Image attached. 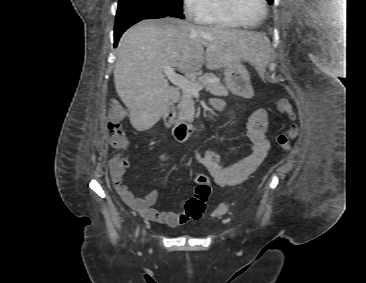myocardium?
Segmentation results:
<instances>
[{
  "label": "myocardium",
  "instance_id": "obj_1",
  "mask_svg": "<svg viewBox=\"0 0 366 283\" xmlns=\"http://www.w3.org/2000/svg\"><path fill=\"white\" fill-rule=\"evenodd\" d=\"M237 2L238 0H222V6L227 13V15L238 25L252 28L258 26L266 17L268 11V5L266 0H261L263 12L262 15L252 24L246 23L239 15L237 10Z\"/></svg>",
  "mask_w": 366,
  "mask_h": 283
}]
</instances>
